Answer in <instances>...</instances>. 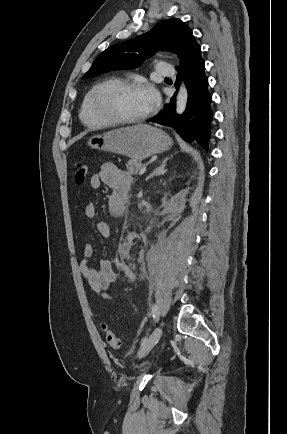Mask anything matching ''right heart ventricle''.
Listing matches in <instances>:
<instances>
[{"label": "right heart ventricle", "mask_w": 287, "mask_h": 434, "mask_svg": "<svg viewBox=\"0 0 287 434\" xmlns=\"http://www.w3.org/2000/svg\"><path fill=\"white\" fill-rule=\"evenodd\" d=\"M103 82H99L92 86L89 91L85 94V96L82 99L80 109H79V117L81 121L89 127H102L107 125L105 121L98 118L92 109V98L97 90V88L102 84Z\"/></svg>", "instance_id": "e07e8e85"}]
</instances>
